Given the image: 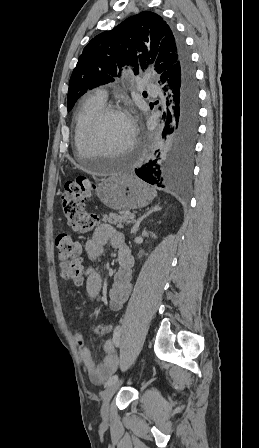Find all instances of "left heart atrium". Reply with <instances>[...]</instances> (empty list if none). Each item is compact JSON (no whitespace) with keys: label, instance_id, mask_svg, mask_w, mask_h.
<instances>
[{"label":"left heart atrium","instance_id":"left-heart-atrium-1","mask_svg":"<svg viewBox=\"0 0 259 448\" xmlns=\"http://www.w3.org/2000/svg\"><path fill=\"white\" fill-rule=\"evenodd\" d=\"M129 122H130V124H131V126H132V128H133V125H132V123H131V121L129 120Z\"/></svg>","mask_w":259,"mask_h":448}]
</instances>
